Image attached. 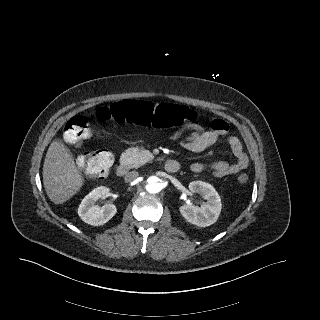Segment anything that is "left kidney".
Returning <instances> with one entry per match:
<instances>
[{
  "instance_id": "5707ae66",
  "label": "left kidney",
  "mask_w": 320,
  "mask_h": 320,
  "mask_svg": "<svg viewBox=\"0 0 320 320\" xmlns=\"http://www.w3.org/2000/svg\"><path fill=\"white\" fill-rule=\"evenodd\" d=\"M192 193L200 194L206 203L200 207L186 204L180 207L184 219L196 226L207 227L215 223L220 215L222 204L218 192L214 187L203 181H193L189 184Z\"/></svg>"
}]
</instances>
